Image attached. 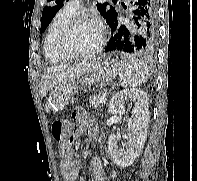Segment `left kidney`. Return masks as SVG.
Masks as SVG:
<instances>
[{
    "mask_svg": "<svg viewBox=\"0 0 197 181\" xmlns=\"http://www.w3.org/2000/svg\"><path fill=\"white\" fill-rule=\"evenodd\" d=\"M134 102L132 117L128 119V128L131 131L125 148H119L120 134H111L108 139V152L113 162L120 167L130 166L140 155L147 138L149 124V104L147 93L139 89H124L117 92L109 104V111L114 115L116 122L121 120L125 113V104ZM116 127H113L115 130Z\"/></svg>",
    "mask_w": 197,
    "mask_h": 181,
    "instance_id": "1",
    "label": "left kidney"
}]
</instances>
